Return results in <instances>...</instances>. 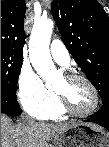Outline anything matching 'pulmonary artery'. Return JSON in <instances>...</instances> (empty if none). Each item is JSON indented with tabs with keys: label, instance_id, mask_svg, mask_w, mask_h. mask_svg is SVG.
I'll return each mask as SVG.
<instances>
[{
	"label": "pulmonary artery",
	"instance_id": "e3ab8cb5",
	"mask_svg": "<svg viewBox=\"0 0 109 147\" xmlns=\"http://www.w3.org/2000/svg\"><path fill=\"white\" fill-rule=\"evenodd\" d=\"M50 54L53 60L64 67H69L70 65V54L61 40H53L50 47Z\"/></svg>",
	"mask_w": 109,
	"mask_h": 147
}]
</instances>
